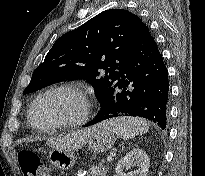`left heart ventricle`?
Returning <instances> with one entry per match:
<instances>
[{
	"label": "left heart ventricle",
	"mask_w": 205,
	"mask_h": 176,
	"mask_svg": "<svg viewBox=\"0 0 205 176\" xmlns=\"http://www.w3.org/2000/svg\"><path fill=\"white\" fill-rule=\"evenodd\" d=\"M80 112V102L74 96L57 92L50 94L37 104L33 120L39 126H48L76 118Z\"/></svg>",
	"instance_id": "1"
}]
</instances>
